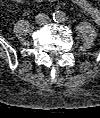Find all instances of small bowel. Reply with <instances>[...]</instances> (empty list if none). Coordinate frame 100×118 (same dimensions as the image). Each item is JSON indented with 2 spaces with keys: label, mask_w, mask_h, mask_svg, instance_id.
Instances as JSON below:
<instances>
[{
  "label": "small bowel",
  "mask_w": 100,
  "mask_h": 118,
  "mask_svg": "<svg viewBox=\"0 0 100 118\" xmlns=\"http://www.w3.org/2000/svg\"><path fill=\"white\" fill-rule=\"evenodd\" d=\"M33 2L39 3L43 0H32ZM50 2H55L57 0H48ZM75 5L79 6L83 11L89 14L96 23H100V10L95 7L89 0H70Z\"/></svg>",
  "instance_id": "obj_1"
}]
</instances>
